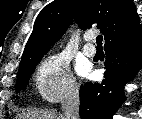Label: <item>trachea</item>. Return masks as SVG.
Instances as JSON below:
<instances>
[{
    "instance_id": "3493384b",
    "label": "trachea",
    "mask_w": 142,
    "mask_h": 119,
    "mask_svg": "<svg viewBox=\"0 0 142 119\" xmlns=\"http://www.w3.org/2000/svg\"><path fill=\"white\" fill-rule=\"evenodd\" d=\"M103 37L102 35H98L96 38L97 47H102Z\"/></svg>"
}]
</instances>
